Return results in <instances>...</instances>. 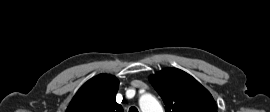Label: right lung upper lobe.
I'll return each instance as SVG.
<instances>
[{
    "instance_id": "1",
    "label": "right lung upper lobe",
    "mask_w": 270,
    "mask_h": 112,
    "mask_svg": "<svg viewBox=\"0 0 270 112\" xmlns=\"http://www.w3.org/2000/svg\"><path fill=\"white\" fill-rule=\"evenodd\" d=\"M118 88L116 77L99 74L78 90L66 112H124L116 102Z\"/></svg>"
}]
</instances>
